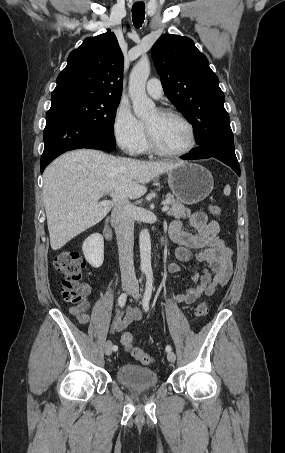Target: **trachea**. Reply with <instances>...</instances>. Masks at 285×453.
<instances>
[{"instance_id":"3493384b","label":"trachea","mask_w":285,"mask_h":453,"mask_svg":"<svg viewBox=\"0 0 285 453\" xmlns=\"http://www.w3.org/2000/svg\"><path fill=\"white\" fill-rule=\"evenodd\" d=\"M145 20V4L136 2L132 7V21L136 28H140Z\"/></svg>"}]
</instances>
